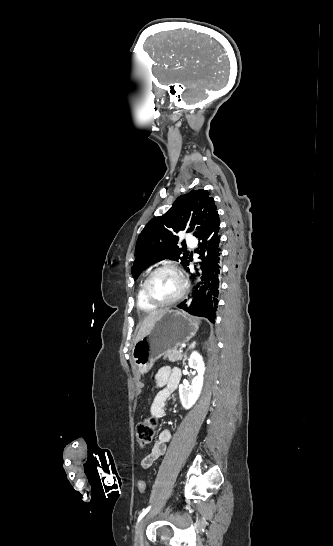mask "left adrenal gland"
<instances>
[{"label":"left adrenal gland","instance_id":"left-adrenal-gland-1","mask_svg":"<svg viewBox=\"0 0 333 546\" xmlns=\"http://www.w3.org/2000/svg\"><path fill=\"white\" fill-rule=\"evenodd\" d=\"M194 347H195V342H192V343L189 345L188 349L186 350V352H185V354H184L183 365H185V361L187 360V352H188V350L193 349Z\"/></svg>","mask_w":333,"mask_h":546}]
</instances>
